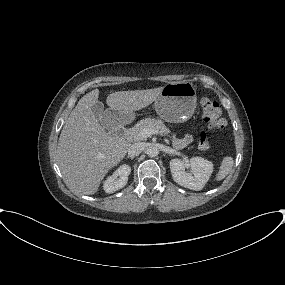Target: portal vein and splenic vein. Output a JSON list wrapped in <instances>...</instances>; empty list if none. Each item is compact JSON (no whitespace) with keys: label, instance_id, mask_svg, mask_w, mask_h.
Listing matches in <instances>:
<instances>
[{"label":"portal vein and splenic vein","instance_id":"18ae733b","mask_svg":"<svg viewBox=\"0 0 285 285\" xmlns=\"http://www.w3.org/2000/svg\"><path fill=\"white\" fill-rule=\"evenodd\" d=\"M153 134H159L158 130L152 128H144L140 131L139 136L143 139H146Z\"/></svg>","mask_w":285,"mask_h":285}]
</instances>
